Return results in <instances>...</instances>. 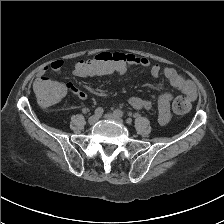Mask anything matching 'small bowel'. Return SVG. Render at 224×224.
Segmentation results:
<instances>
[{"mask_svg": "<svg viewBox=\"0 0 224 224\" xmlns=\"http://www.w3.org/2000/svg\"><path fill=\"white\" fill-rule=\"evenodd\" d=\"M121 60L124 61L127 67L131 65H136L142 68L150 69L151 75L154 78H158L161 72L164 73L165 77L168 79L170 84L181 91L183 94L187 96L190 100H194L196 98V88L192 81L184 78L181 74H179L174 68L165 67L161 68L159 64H151V62L145 57H139L134 54H124V53H116ZM64 65L63 60H54L50 63V65L43 70H41L38 74V79L46 77V72L48 69L53 70L56 73H61ZM75 76H85L81 73L77 68L73 71ZM67 90L76 95L80 100H86L87 96L84 92L79 90L72 83L66 84ZM173 99V95L170 92H164L160 95L157 107H158V120L160 124L164 125L170 120V102ZM129 104L132 108L136 110L142 109H151L153 103L149 99L141 98L138 96H132L129 98Z\"/></svg>", "mask_w": 224, "mask_h": 224, "instance_id": "obj_1", "label": "small bowel"}]
</instances>
